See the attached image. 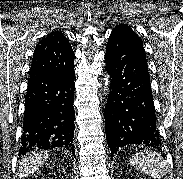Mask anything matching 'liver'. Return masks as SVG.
<instances>
[{"label":"liver","instance_id":"obj_1","mask_svg":"<svg viewBox=\"0 0 183 179\" xmlns=\"http://www.w3.org/2000/svg\"><path fill=\"white\" fill-rule=\"evenodd\" d=\"M48 156L49 155L47 153L38 152L23 158L19 166L21 176H28L39 170V168L48 159Z\"/></svg>","mask_w":183,"mask_h":179}]
</instances>
